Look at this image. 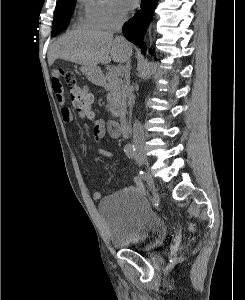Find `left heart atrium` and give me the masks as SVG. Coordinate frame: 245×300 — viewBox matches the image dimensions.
<instances>
[{
    "label": "left heart atrium",
    "mask_w": 245,
    "mask_h": 300,
    "mask_svg": "<svg viewBox=\"0 0 245 300\" xmlns=\"http://www.w3.org/2000/svg\"><path fill=\"white\" fill-rule=\"evenodd\" d=\"M124 7L127 9H133L137 6L138 0H120Z\"/></svg>",
    "instance_id": "39dd6f15"
}]
</instances>
